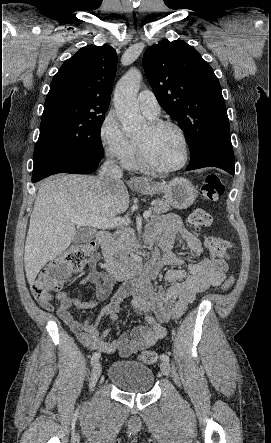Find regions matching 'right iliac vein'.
<instances>
[{
  "label": "right iliac vein",
  "mask_w": 271,
  "mask_h": 443,
  "mask_svg": "<svg viewBox=\"0 0 271 443\" xmlns=\"http://www.w3.org/2000/svg\"><path fill=\"white\" fill-rule=\"evenodd\" d=\"M101 372H102V365L100 362H96L91 372L90 383H89L90 390H93V388L95 387L101 375Z\"/></svg>",
  "instance_id": "right-iliac-vein-1"
}]
</instances>
